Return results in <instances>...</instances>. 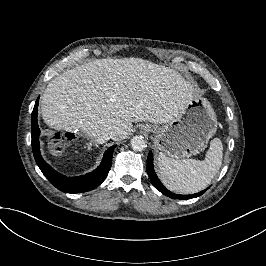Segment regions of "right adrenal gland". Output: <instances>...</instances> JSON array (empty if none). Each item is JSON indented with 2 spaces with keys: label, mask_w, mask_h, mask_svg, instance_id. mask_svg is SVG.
<instances>
[{
  "label": "right adrenal gland",
  "mask_w": 266,
  "mask_h": 266,
  "mask_svg": "<svg viewBox=\"0 0 266 266\" xmlns=\"http://www.w3.org/2000/svg\"><path fill=\"white\" fill-rule=\"evenodd\" d=\"M88 149H91L92 148V141H90L89 143H86Z\"/></svg>",
  "instance_id": "1"
}]
</instances>
